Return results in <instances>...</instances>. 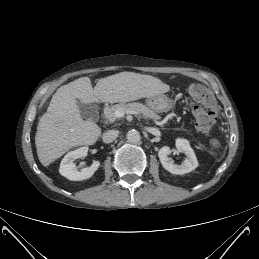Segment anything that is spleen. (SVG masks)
Returning <instances> with one entry per match:
<instances>
[{"instance_id":"3e777b00","label":"spleen","mask_w":259,"mask_h":259,"mask_svg":"<svg viewBox=\"0 0 259 259\" xmlns=\"http://www.w3.org/2000/svg\"><path fill=\"white\" fill-rule=\"evenodd\" d=\"M212 143H213L214 146H217L219 144V142L217 140H213Z\"/></svg>"}]
</instances>
